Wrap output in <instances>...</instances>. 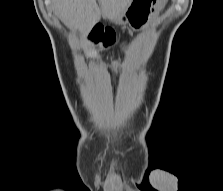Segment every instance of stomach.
<instances>
[{"instance_id":"stomach-1","label":"stomach","mask_w":223,"mask_h":191,"mask_svg":"<svg viewBox=\"0 0 223 191\" xmlns=\"http://www.w3.org/2000/svg\"><path fill=\"white\" fill-rule=\"evenodd\" d=\"M163 2L164 0H132L126 11L115 22L128 25L133 30H140L154 20Z\"/></svg>"}]
</instances>
